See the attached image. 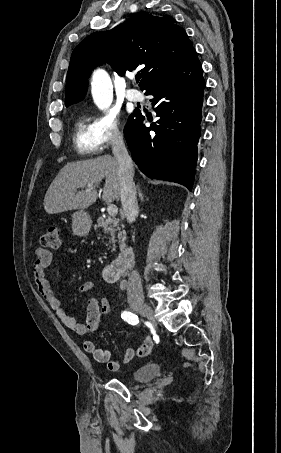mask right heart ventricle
I'll use <instances>...</instances> for the list:
<instances>
[{"label": "right heart ventricle", "instance_id": "1", "mask_svg": "<svg viewBox=\"0 0 281 453\" xmlns=\"http://www.w3.org/2000/svg\"><path fill=\"white\" fill-rule=\"evenodd\" d=\"M73 142L77 153L84 157L96 156L102 143L87 112L82 111L75 123Z\"/></svg>", "mask_w": 281, "mask_h": 453}]
</instances>
